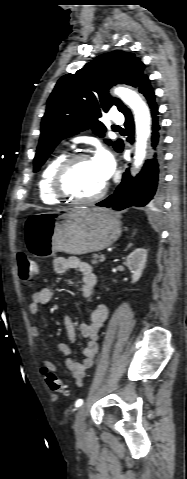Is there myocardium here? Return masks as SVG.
<instances>
[{
    "instance_id": "obj_1",
    "label": "myocardium",
    "mask_w": 187,
    "mask_h": 479,
    "mask_svg": "<svg viewBox=\"0 0 187 479\" xmlns=\"http://www.w3.org/2000/svg\"><path fill=\"white\" fill-rule=\"evenodd\" d=\"M92 159L87 153L77 152L66 156L58 165L52 177L53 193L61 198L75 204H90L100 200L107 193L108 183L105 182L103 187L90 197H79L67 188V177L73 167L80 161Z\"/></svg>"
}]
</instances>
